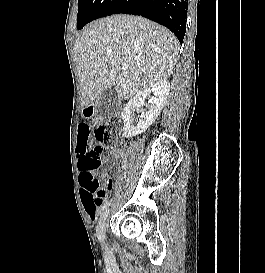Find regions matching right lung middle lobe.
<instances>
[{
    "label": "right lung middle lobe",
    "instance_id": "1",
    "mask_svg": "<svg viewBox=\"0 0 265 273\" xmlns=\"http://www.w3.org/2000/svg\"><path fill=\"white\" fill-rule=\"evenodd\" d=\"M118 0H78L77 27L82 29L87 23L105 17Z\"/></svg>",
    "mask_w": 265,
    "mask_h": 273
}]
</instances>
